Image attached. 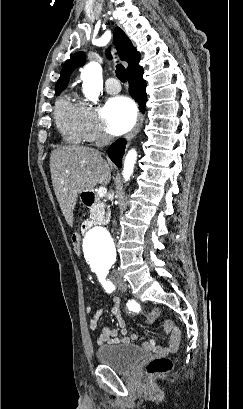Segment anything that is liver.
Returning <instances> with one entry per match:
<instances>
[{
    "instance_id": "obj_1",
    "label": "liver",
    "mask_w": 243,
    "mask_h": 409,
    "mask_svg": "<svg viewBox=\"0 0 243 409\" xmlns=\"http://www.w3.org/2000/svg\"><path fill=\"white\" fill-rule=\"evenodd\" d=\"M112 164L100 152L89 147L62 146L51 152L50 171L53 189L69 226L78 195L97 184L106 186L111 179Z\"/></svg>"
}]
</instances>
